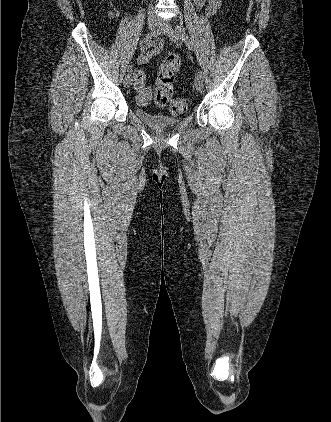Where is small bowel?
<instances>
[{
    "instance_id": "obj_1",
    "label": "small bowel",
    "mask_w": 331,
    "mask_h": 422,
    "mask_svg": "<svg viewBox=\"0 0 331 422\" xmlns=\"http://www.w3.org/2000/svg\"><path fill=\"white\" fill-rule=\"evenodd\" d=\"M221 2L222 0H194L195 7L198 10H204L205 14L208 17H211L216 14V12L221 7ZM206 3L207 5H205ZM163 46L164 41L160 38L142 44L143 52L138 56V62L143 64L151 60L153 57L159 55L163 49ZM135 89L137 91L138 104L143 105L140 99L141 96H145L150 99L151 89L146 86L144 76L135 77Z\"/></svg>"
}]
</instances>
